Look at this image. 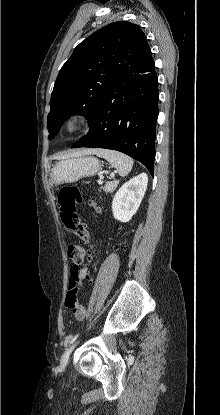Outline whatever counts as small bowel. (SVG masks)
I'll return each instance as SVG.
<instances>
[{
  "label": "small bowel",
  "instance_id": "1",
  "mask_svg": "<svg viewBox=\"0 0 220 415\" xmlns=\"http://www.w3.org/2000/svg\"><path fill=\"white\" fill-rule=\"evenodd\" d=\"M81 280L85 279L88 275V266H83L79 269ZM69 310L74 314L78 320H83L85 318L86 312H79L76 308H69Z\"/></svg>",
  "mask_w": 220,
  "mask_h": 415
}]
</instances>
